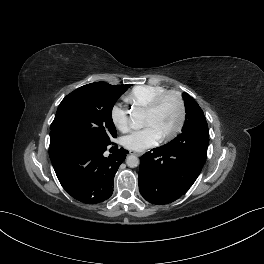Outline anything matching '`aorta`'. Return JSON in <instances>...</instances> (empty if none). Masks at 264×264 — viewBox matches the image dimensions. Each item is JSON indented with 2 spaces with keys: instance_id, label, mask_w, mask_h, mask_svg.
Returning a JSON list of instances; mask_svg holds the SVG:
<instances>
[{
  "instance_id": "obj_1",
  "label": "aorta",
  "mask_w": 264,
  "mask_h": 264,
  "mask_svg": "<svg viewBox=\"0 0 264 264\" xmlns=\"http://www.w3.org/2000/svg\"><path fill=\"white\" fill-rule=\"evenodd\" d=\"M130 120L135 128H141L144 122V111L140 108H134L131 111ZM126 164L131 168L137 167L139 165V159L135 155H129L126 158Z\"/></svg>"
}]
</instances>
